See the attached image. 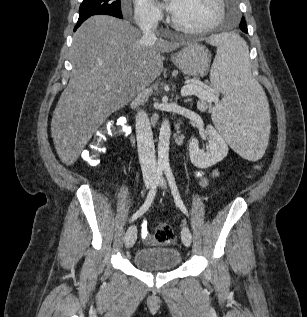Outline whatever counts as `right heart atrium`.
Wrapping results in <instances>:
<instances>
[{
    "instance_id": "right-heart-atrium-1",
    "label": "right heart atrium",
    "mask_w": 307,
    "mask_h": 317,
    "mask_svg": "<svg viewBox=\"0 0 307 317\" xmlns=\"http://www.w3.org/2000/svg\"><path fill=\"white\" fill-rule=\"evenodd\" d=\"M134 1V19L142 27H153L161 19L160 9L150 0H133ZM124 12H127L124 10Z\"/></svg>"
}]
</instances>
